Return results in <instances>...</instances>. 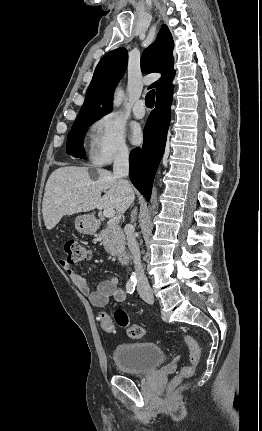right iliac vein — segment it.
Listing matches in <instances>:
<instances>
[{
  "mask_svg": "<svg viewBox=\"0 0 262 431\" xmlns=\"http://www.w3.org/2000/svg\"><path fill=\"white\" fill-rule=\"evenodd\" d=\"M143 296H145V297H150L151 296V294L150 293H147V294H142Z\"/></svg>",
  "mask_w": 262,
  "mask_h": 431,
  "instance_id": "right-iliac-vein-1",
  "label": "right iliac vein"
}]
</instances>
